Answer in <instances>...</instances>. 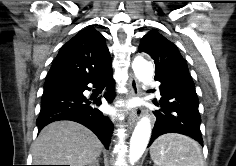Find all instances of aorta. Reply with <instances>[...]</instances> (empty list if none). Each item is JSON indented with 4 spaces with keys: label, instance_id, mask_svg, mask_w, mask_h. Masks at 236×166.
Listing matches in <instances>:
<instances>
[{
    "label": "aorta",
    "instance_id": "aorta-1",
    "mask_svg": "<svg viewBox=\"0 0 236 166\" xmlns=\"http://www.w3.org/2000/svg\"><path fill=\"white\" fill-rule=\"evenodd\" d=\"M132 68L135 76L145 87L152 80L154 74L153 64L141 56L134 59ZM151 135V124L147 117H143L136 125L130 139L129 161L134 164L143 155Z\"/></svg>",
    "mask_w": 236,
    "mask_h": 166
}]
</instances>
